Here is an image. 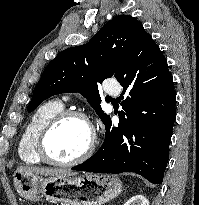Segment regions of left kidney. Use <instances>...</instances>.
<instances>
[{"label":"left kidney","instance_id":"left-kidney-1","mask_svg":"<svg viewBox=\"0 0 199 205\" xmlns=\"http://www.w3.org/2000/svg\"><path fill=\"white\" fill-rule=\"evenodd\" d=\"M124 205H149V201L145 196L139 194L131 197Z\"/></svg>","mask_w":199,"mask_h":205}]
</instances>
